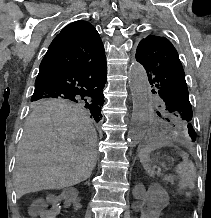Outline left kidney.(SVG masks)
Instances as JSON below:
<instances>
[{
  "instance_id": "1",
  "label": "left kidney",
  "mask_w": 211,
  "mask_h": 218,
  "mask_svg": "<svg viewBox=\"0 0 211 218\" xmlns=\"http://www.w3.org/2000/svg\"><path fill=\"white\" fill-rule=\"evenodd\" d=\"M136 206L135 215H145V218H164L168 214L164 207H159L156 198H142V202H137Z\"/></svg>"
}]
</instances>
